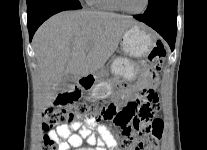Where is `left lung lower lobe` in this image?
<instances>
[{
  "label": "left lung lower lobe",
  "mask_w": 207,
  "mask_h": 150,
  "mask_svg": "<svg viewBox=\"0 0 207 150\" xmlns=\"http://www.w3.org/2000/svg\"><path fill=\"white\" fill-rule=\"evenodd\" d=\"M134 18L156 30L173 51L177 33V2L169 3L155 13L136 15Z\"/></svg>",
  "instance_id": "left-lung-lower-lobe-1"
}]
</instances>
